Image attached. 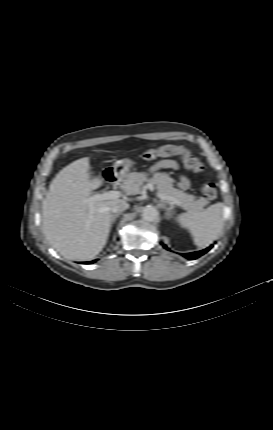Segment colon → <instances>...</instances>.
<instances>
[{"label":"colon","mask_w":273,"mask_h":430,"mask_svg":"<svg viewBox=\"0 0 273 430\" xmlns=\"http://www.w3.org/2000/svg\"><path fill=\"white\" fill-rule=\"evenodd\" d=\"M172 155L181 156L184 166L194 173H200L204 169L202 162L183 146L166 145L156 149H148L142 154V157L145 160H153L160 156ZM201 191L203 196L209 200L217 196V187L213 182H205L201 187Z\"/></svg>","instance_id":"colon-1"}]
</instances>
